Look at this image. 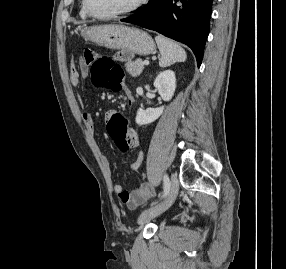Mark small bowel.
I'll list each match as a JSON object with an SVG mask.
<instances>
[{
	"mask_svg": "<svg viewBox=\"0 0 286 269\" xmlns=\"http://www.w3.org/2000/svg\"><path fill=\"white\" fill-rule=\"evenodd\" d=\"M88 68H89V62L85 58L84 60L80 59L78 62V65H76L74 62H71L70 69H69V81L72 86L76 87L79 85L81 76L87 72ZM125 95L128 99V104L131 106L132 100H131L130 92L126 90ZM115 115H116V111H113V110L108 111L106 114V121L107 122L111 121L113 119V116ZM82 121L87 130L94 131L95 124H94L93 117L90 113L84 112L82 114ZM126 121H128L127 118H126ZM125 127L128 133V138H129L131 147L132 148L138 147L139 139H138L137 134L134 131L130 130L129 126H125ZM143 157H144V153L142 151H139L137 154L136 160L129 164V169L131 171H137L142 164ZM113 191L120 198V200L123 203H125L129 209H132V210L137 209L139 206L146 203L155 194L154 190L147 183L140 185L138 188H136L132 192L124 191L121 184H115L113 187Z\"/></svg>",
	"mask_w": 286,
	"mask_h": 269,
	"instance_id": "small-bowel-1",
	"label": "small bowel"
}]
</instances>
